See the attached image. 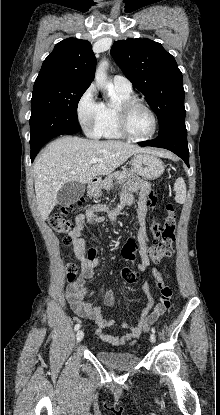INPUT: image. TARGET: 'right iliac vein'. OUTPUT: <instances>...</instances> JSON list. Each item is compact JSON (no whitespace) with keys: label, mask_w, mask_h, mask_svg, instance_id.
Returning <instances> with one entry per match:
<instances>
[{"label":"right iliac vein","mask_w":220,"mask_h":415,"mask_svg":"<svg viewBox=\"0 0 220 415\" xmlns=\"http://www.w3.org/2000/svg\"><path fill=\"white\" fill-rule=\"evenodd\" d=\"M84 337V332L82 330H79L76 334V341L77 343L81 342Z\"/></svg>","instance_id":"63e3f726"}]
</instances>
